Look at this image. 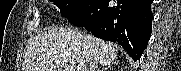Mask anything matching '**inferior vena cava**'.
Returning a JSON list of instances; mask_svg holds the SVG:
<instances>
[{
    "mask_svg": "<svg viewBox=\"0 0 181 71\" xmlns=\"http://www.w3.org/2000/svg\"><path fill=\"white\" fill-rule=\"evenodd\" d=\"M88 71H98V61H97V59H94V61L90 65Z\"/></svg>",
    "mask_w": 181,
    "mask_h": 71,
    "instance_id": "obj_1",
    "label": "inferior vena cava"
}]
</instances>
